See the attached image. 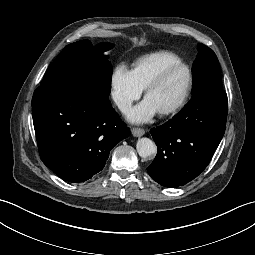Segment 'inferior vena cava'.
<instances>
[{
  "instance_id": "inferior-vena-cava-1",
  "label": "inferior vena cava",
  "mask_w": 255,
  "mask_h": 255,
  "mask_svg": "<svg viewBox=\"0 0 255 255\" xmlns=\"http://www.w3.org/2000/svg\"><path fill=\"white\" fill-rule=\"evenodd\" d=\"M114 101L121 111H126L130 108L131 102L122 96H115Z\"/></svg>"
}]
</instances>
